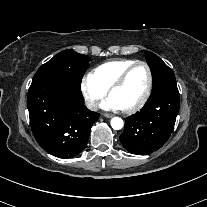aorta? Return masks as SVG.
Instances as JSON below:
<instances>
[{"label": "aorta", "mask_w": 207, "mask_h": 207, "mask_svg": "<svg viewBox=\"0 0 207 207\" xmlns=\"http://www.w3.org/2000/svg\"><path fill=\"white\" fill-rule=\"evenodd\" d=\"M111 127L114 129V130H120L123 128V120L120 118V117H113L111 119Z\"/></svg>", "instance_id": "1"}]
</instances>
